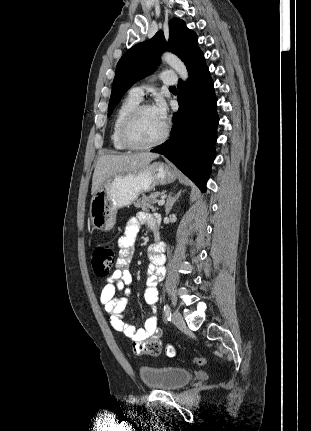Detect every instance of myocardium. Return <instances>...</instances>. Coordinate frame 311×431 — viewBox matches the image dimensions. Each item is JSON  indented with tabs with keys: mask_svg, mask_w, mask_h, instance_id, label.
<instances>
[{
	"mask_svg": "<svg viewBox=\"0 0 311 431\" xmlns=\"http://www.w3.org/2000/svg\"><path fill=\"white\" fill-rule=\"evenodd\" d=\"M148 108H151L149 104L140 103L124 119L122 125V136L125 143L132 149H149L158 146L166 140L169 134V128L165 124L163 133L153 141L141 142L135 137V126L144 111Z\"/></svg>",
	"mask_w": 311,
	"mask_h": 431,
	"instance_id": "f54148a6",
	"label": "myocardium"
}]
</instances>
